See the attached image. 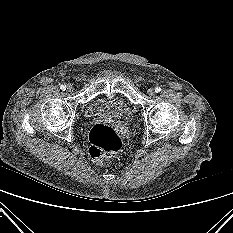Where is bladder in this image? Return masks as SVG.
Segmentation results:
<instances>
[{
    "label": "bladder",
    "instance_id": "31cf9c89",
    "mask_svg": "<svg viewBox=\"0 0 233 233\" xmlns=\"http://www.w3.org/2000/svg\"><path fill=\"white\" fill-rule=\"evenodd\" d=\"M85 116L126 121L132 116V108L130 103L121 96L98 97L88 104Z\"/></svg>",
    "mask_w": 233,
    "mask_h": 233
}]
</instances>
